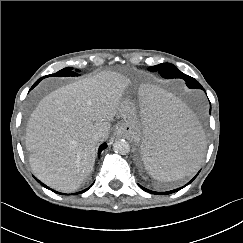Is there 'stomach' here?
I'll list each match as a JSON object with an SVG mask.
<instances>
[{
  "instance_id": "0dacf381",
  "label": "stomach",
  "mask_w": 243,
  "mask_h": 243,
  "mask_svg": "<svg viewBox=\"0 0 243 243\" xmlns=\"http://www.w3.org/2000/svg\"><path fill=\"white\" fill-rule=\"evenodd\" d=\"M118 114L122 119L118 131L132 141L140 142L139 119L134 104L128 99L122 100Z\"/></svg>"
}]
</instances>
